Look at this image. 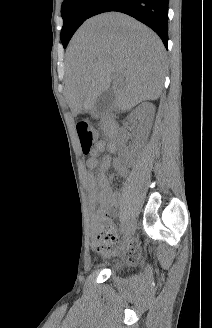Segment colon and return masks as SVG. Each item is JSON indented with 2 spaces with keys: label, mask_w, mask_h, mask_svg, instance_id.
Instances as JSON below:
<instances>
[{
  "label": "colon",
  "mask_w": 212,
  "mask_h": 328,
  "mask_svg": "<svg viewBox=\"0 0 212 328\" xmlns=\"http://www.w3.org/2000/svg\"><path fill=\"white\" fill-rule=\"evenodd\" d=\"M77 133L83 154H91L94 151L98 139L96 131L88 122L81 121L77 124ZM116 240V234L108 226L102 225L97 232L96 248L101 253H107L113 247Z\"/></svg>",
  "instance_id": "obj_1"
}]
</instances>
